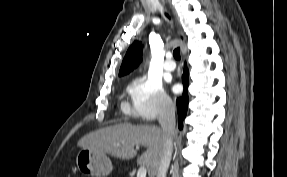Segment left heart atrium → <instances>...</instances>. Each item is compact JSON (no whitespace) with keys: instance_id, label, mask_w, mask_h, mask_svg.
<instances>
[{"instance_id":"left-heart-atrium-1","label":"left heart atrium","mask_w":287,"mask_h":177,"mask_svg":"<svg viewBox=\"0 0 287 177\" xmlns=\"http://www.w3.org/2000/svg\"><path fill=\"white\" fill-rule=\"evenodd\" d=\"M173 89H174V90H176V89H177V87H176V86H174V87H173Z\"/></svg>"}]
</instances>
